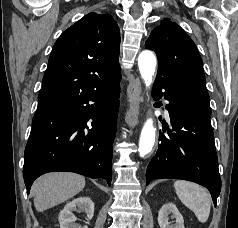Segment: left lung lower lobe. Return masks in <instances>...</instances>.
Listing matches in <instances>:
<instances>
[{
    "instance_id": "0a47b994",
    "label": "left lung lower lobe",
    "mask_w": 238,
    "mask_h": 228,
    "mask_svg": "<svg viewBox=\"0 0 238 228\" xmlns=\"http://www.w3.org/2000/svg\"><path fill=\"white\" fill-rule=\"evenodd\" d=\"M165 89L162 93L161 90ZM164 96L170 116L168 135L160 132L156 155L146 171V184L153 179L175 178L196 182L211 193L216 206L221 190L210 107L167 83H154L153 96ZM165 131V129H164Z\"/></svg>"
}]
</instances>
